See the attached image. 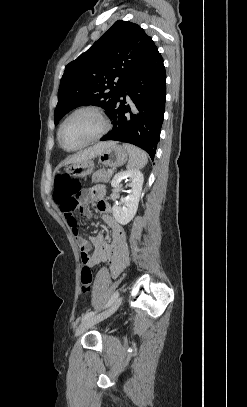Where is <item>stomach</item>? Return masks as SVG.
I'll return each instance as SVG.
<instances>
[{"instance_id":"obj_1","label":"stomach","mask_w":247,"mask_h":407,"mask_svg":"<svg viewBox=\"0 0 247 407\" xmlns=\"http://www.w3.org/2000/svg\"><path fill=\"white\" fill-rule=\"evenodd\" d=\"M128 160V151L121 145L112 142L99 155L98 161L106 167H119ZM94 161L87 159L66 167V173L74 177H84L93 172Z\"/></svg>"}]
</instances>
